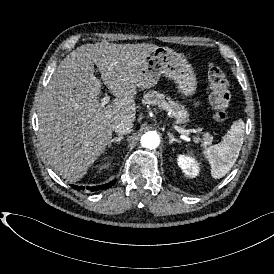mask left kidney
Wrapping results in <instances>:
<instances>
[{
  "mask_svg": "<svg viewBox=\"0 0 274 274\" xmlns=\"http://www.w3.org/2000/svg\"><path fill=\"white\" fill-rule=\"evenodd\" d=\"M178 165L183 169L184 173L189 177H195L198 174V166L194 161L185 156L178 157Z\"/></svg>",
  "mask_w": 274,
  "mask_h": 274,
  "instance_id": "obj_1",
  "label": "left kidney"
}]
</instances>
